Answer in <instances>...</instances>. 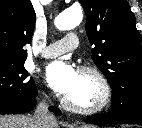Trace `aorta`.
Here are the masks:
<instances>
[{"label": "aorta", "instance_id": "762f6f07", "mask_svg": "<svg viewBox=\"0 0 142 128\" xmlns=\"http://www.w3.org/2000/svg\"><path fill=\"white\" fill-rule=\"evenodd\" d=\"M83 19L81 9L68 8L61 12L54 21V24L59 30H70L78 26Z\"/></svg>", "mask_w": 142, "mask_h": 128}]
</instances>
